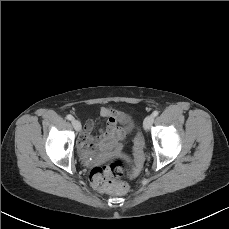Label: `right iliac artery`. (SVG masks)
<instances>
[{"mask_svg":"<svg viewBox=\"0 0 229 229\" xmlns=\"http://www.w3.org/2000/svg\"><path fill=\"white\" fill-rule=\"evenodd\" d=\"M67 119L68 120H73V116L69 114V115H67Z\"/></svg>","mask_w":229,"mask_h":229,"instance_id":"obj_1","label":"right iliac artery"}]
</instances>
